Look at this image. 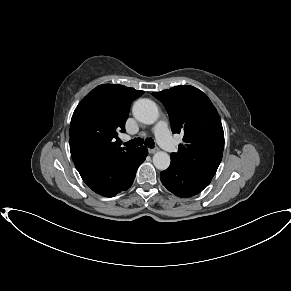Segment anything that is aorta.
Returning a JSON list of instances; mask_svg holds the SVG:
<instances>
[{"label": "aorta", "mask_w": 291, "mask_h": 291, "mask_svg": "<svg viewBox=\"0 0 291 291\" xmlns=\"http://www.w3.org/2000/svg\"><path fill=\"white\" fill-rule=\"evenodd\" d=\"M133 116L141 123L150 125L157 121L159 111L156 103L150 99L137 100L132 108ZM170 156L166 152L158 151L153 156V164L159 170H166L170 165Z\"/></svg>", "instance_id": "obj_1"}]
</instances>
